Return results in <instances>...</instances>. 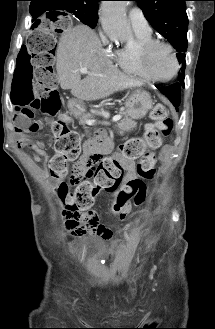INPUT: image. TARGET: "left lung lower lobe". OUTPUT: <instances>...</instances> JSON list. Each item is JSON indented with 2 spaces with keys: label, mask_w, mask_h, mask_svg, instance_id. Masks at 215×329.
Segmentation results:
<instances>
[{
  "label": "left lung lower lobe",
  "mask_w": 215,
  "mask_h": 329,
  "mask_svg": "<svg viewBox=\"0 0 215 329\" xmlns=\"http://www.w3.org/2000/svg\"><path fill=\"white\" fill-rule=\"evenodd\" d=\"M184 87V81H178L176 84L171 85L169 87H157L162 93H164L168 99L173 103V105L178 110V106L180 103V90Z\"/></svg>",
  "instance_id": "1"
}]
</instances>
